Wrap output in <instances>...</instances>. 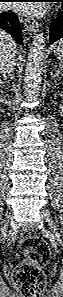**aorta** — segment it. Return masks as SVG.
I'll return each mask as SVG.
<instances>
[{
	"instance_id": "aorta-1",
	"label": "aorta",
	"mask_w": 63,
	"mask_h": 297,
	"mask_svg": "<svg viewBox=\"0 0 63 297\" xmlns=\"http://www.w3.org/2000/svg\"><path fill=\"white\" fill-rule=\"evenodd\" d=\"M46 38L44 33L35 36L25 67L24 74V94L29 100H35L41 88L42 75L44 70Z\"/></svg>"
}]
</instances>
